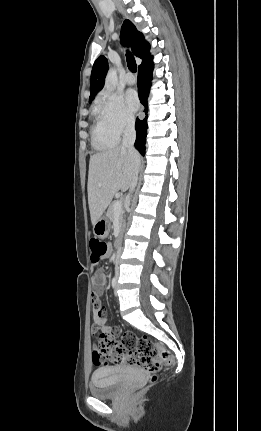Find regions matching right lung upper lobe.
Returning a JSON list of instances; mask_svg holds the SVG:
<instances>
[{
	"label": "right lung upper lobe",
	"instance_id": "right-lung-upper-lobe-1",
	"mask_svg": "<svg viewBox=\"0 0 261 431\" xmlns=\"http://www.w3.org/2000/svg\"><path fill=\"white\" fill-rule=\"evenodd\" d=\"M121 42L129 45L134 55L143 59L142 63L151 57L149 44L145 41L143 34L129 20H125L122 25ZM107 71V59L104 56L98 57L94 62L91 72L89 101L93 100L98 91L103 88Z\"/></svg>",
	"mask_w": 261,
	"mask_h": 431
}]
</instances>
